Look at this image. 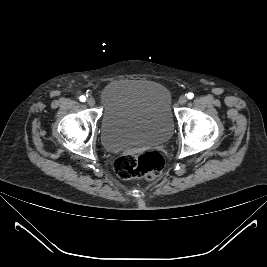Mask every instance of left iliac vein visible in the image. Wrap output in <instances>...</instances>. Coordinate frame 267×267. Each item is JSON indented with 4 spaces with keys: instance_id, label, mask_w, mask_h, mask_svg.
Wrapping results in <instances>:
<instances>
[{
    "instance_id": "left-iliac-vein-1",
    "label": "left iliac vein",
    "mask_w": 267,
    "mask_h": 267,
    "mask_svg": "<svg viewBox=\"0 0 267 267\" xmlns=\"http://www.w3.org/2000/svg\"><path fill=\"white\" fill-rule=\"evenodd\" d=\"M187 102V96L186 95H181L179 98V103L181 105H184Z\"/></svg>"
}]
</instances>
